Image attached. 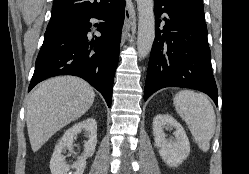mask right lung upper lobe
Wrapping results in <instances>:
<instances>
[{
  "mask_svg": "<svg viewBox=\"0 0 249 174\" xmlns=\"http://www.w3.org/2000/svg\"><path fill=\"white\" fill-rule=\"evenodd\" d=\"M114 0H54L51 19L47 28H51L67 19L90 15L106 9Z\"/></svg>",
  "mask_w": 249,
  "mask_h": 174,
  "instance_id": "1",
  "label": "right lung upper lobe"
}]
</instances>
